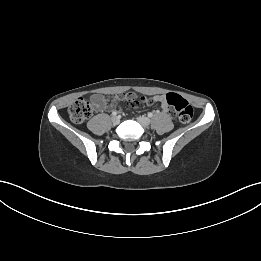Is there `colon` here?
<instances>
[{
  "instance_id": "obj_1",
  "label": "colon",
  "mask_w": 261,
  "mask_h": 261,
  "mask_svg": "<svg viewBox=\"0 0 261 261\" xmlns=\"http://www.w3.org/2000/svg\"><path fill=\"white\" fill-rule=\"evenodd\" d=\"M165 101L180 123L186 124L192 120L193 108L182 96L169 93L165 96ZM68 112L74 123H82L91 116L92 107L85 99L79 98L69 106Z\"/></svg>"
}]
</instances>
